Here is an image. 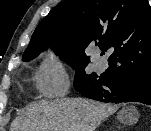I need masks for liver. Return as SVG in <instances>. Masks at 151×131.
<instances>
[{
  "mask_svg": "<svg viewBox=\"0 0 151 131\" xmlns=\"http://www.w3.org/2000/svg\"><path fill=\"white\" fill-rule=\"evenodd\" d=\"M116 110L114 105L84 98L42 100L30 105L23 117L16 118L10 131H95ZM138 116V111L131 108L125 119L135 123Z\"/></svg>",
  "mask_w": 151,
  "mask_h": 131,
  "instance_id": "liver-1",
  "label": "liver"
}]
</instances>
